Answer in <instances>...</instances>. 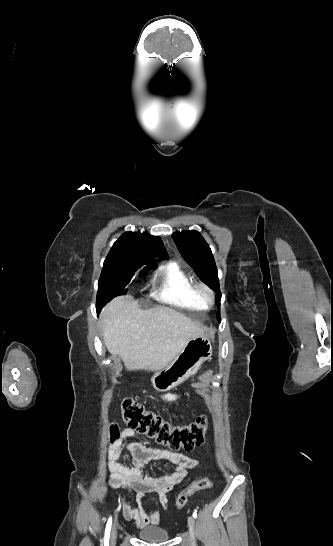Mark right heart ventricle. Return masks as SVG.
<instances>
[{
    "instance_id": "right-heart-ventricle-1",
    "label": "right heart ventricle",
    "mask_w": 333,
    "mask_h": 546,
    "mask_svg": "<svg viewBox=\"0 0 333 546\" xmlns=\"http://www.w3.org/2000/svg\"><path fill=\"white\" fill-rule=\"evenodd\" d=\"M153 296L165 304L187 310L207 308L196 295L194 281L177 262H169L158 269Z\"/></svg>"
}]
</instances>
